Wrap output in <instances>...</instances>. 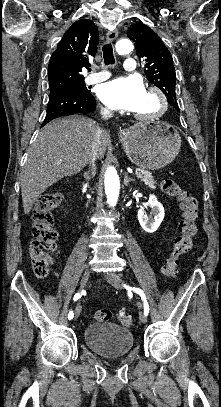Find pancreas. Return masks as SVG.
<instances>
[{
  "label": "pancreas",
  "mask_w": 221,
  "mask_h": 407,
  "mask_svg": "<svg viewBox=\"0 0 221 407\" xmlns=\"http://www.w3.org/2000/svg\"><path fill=\"white\" fill-rule=\"evenodd\" d=\"M136 171L140 173L138 178H140L141 181H143L147 186H149L152 189L156 188V180L154 179L150 172L144 171L142 169H137Z\"/></svg>",
  "instance_id": "cf45deb5"
}]
</instances>
